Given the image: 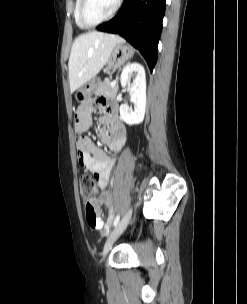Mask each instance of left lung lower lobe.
Segmentation results:
<instances>
[{
	"mask_svg": "<svg viewBox=\"0 0 247 304\" xmlns=\"http://www.w3.org/2000/svg\"><path fill=\"white\" fill-rule=\"evenodd\" d=\"M166 0H125L121 11L97 30L119 34L139 50L152 72L158 57Z\"/></svg>",
	"mask_w": 247,
	"mask_h": 304,
	"instance_id": "0a47b994",
	"label": "left lung lower lobe"
}]
</instances>
